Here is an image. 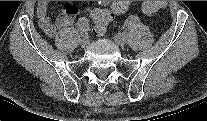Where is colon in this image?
Returning a JSON list of instances; mask_svg holds the SVG:
<instances>
[{
	"instance_id": "5ec220e1",
	"label": "colon",
	"mask_w": 207,
	"mask_h": 121,
	"mask_svg": "<svg viewBox=\"0 0 207 121\" xmlns=\"http://www.w3.org/2000/svg\"><path fill=\"white\" fill-rule=\"evenodd\" d=\"M166 4L163 1H145L142 4V11L147 15L157 13L159 10L165 8ZM128 8V3L122 1L115 5V7H101L92 10L90 16L94 23V28L97 32H103L108 24L112 21L115 11H123Z\"/></svg>"
}]
</instances>
